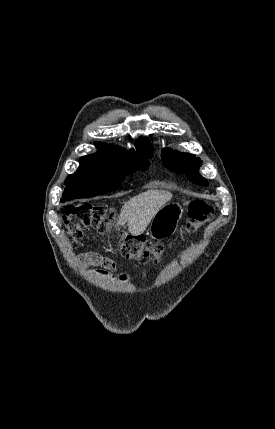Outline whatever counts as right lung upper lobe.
I'll use <instances>...</instances> for the list:
<instances>
[{
	"label": "right lung upper lobe",
	"mask_w": 275,
	"mask_h": 429,
	"mask_svg": "<svg viewBox=\"0 0 275 429\" xmlns=\"http://www.w3.org/2000/svg\"><path fill=\"white\" fill-rule=\"evenodd\" d=\"M95 145L99 152L81 157L80 164L94 163L106 165L125 156L146 157L153 154L149 140L142 137L135 143L137 152L134 149L128 152L121 147H114L101 142H96Z\"/></svg>",
	"instance_id": "cb5924a9"
}]
</instances>
